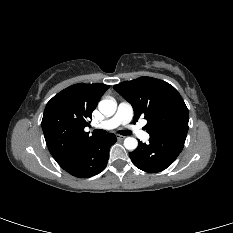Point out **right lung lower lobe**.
<instances>
[{"label":"right lung lower lobe","instance_id":"right-lung-lower-lobe-1","mask_svg":"<svg viewBox=\"0 0 233 233\" xmlns=\"http://www.w3.org/2000/svg\"><path fill=\"white\" fill-rule=\"evenodd\" d=\"M115 142L114 134L97 137L61 167L71 175L80 178L99 174L106 167L109 149Z\"/></svg>","mask_w":233,"mask_h":233}]
</instances>
